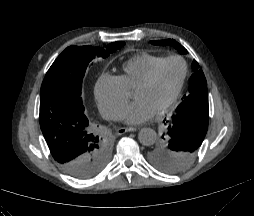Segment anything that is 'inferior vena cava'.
<instances>
[{
    "label": "inferior vena cava",
    "instance_id": "602c4592",
    "mask_svg": "<svg viewBox=\"0 0 254 216\" xmlns=\"http://www.w3.org/2000/svg\"><path fill=\"white\" fill-rule=\"evenodd\" d=\"M99 112L101 117L105 120H119V115L111 109L100 108Z\"/></svg>",
    "mask_w": 254,
    "mask_h": 216
}]
</instances>
